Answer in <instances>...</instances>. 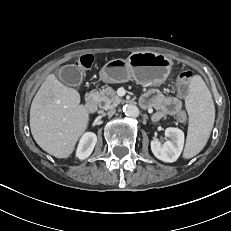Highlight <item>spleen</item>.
<instances>
[{
	"mask_svg": "<svg viewBox=\"0 0 231 231\" xmlns=\"http://www.w3.org/2000/svg\"><path fill=\"white\" fill-rule=\"evenodd\" d=\"M189 115L188 133L183 157L196 156L206 145L215 119V106L204 80L195 75L185 100Z\"/></svg>",
	"mask_w": 231,
	"mask_h": 231,
	"instance_id": "3e777b00",
	"label": "spleen"
}]
</instances>
